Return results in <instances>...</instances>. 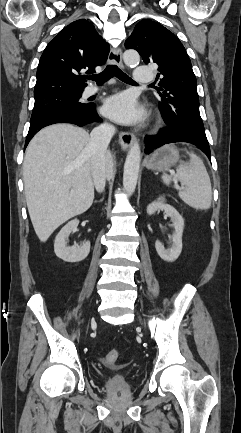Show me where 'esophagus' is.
<instances>
[{
    "label": "esophagus",
    "instance_id": "1",
    "mask_svg": "<svg viewBox=\"0 0 241 433\" xmlns=\"http://www.w3.org/2000/svg\"><path fill=\"white\" fill-rule=\"evenodd\" d=\"M109 61L117 65L120 68H123V62H122V51L121 49H112L109 53ZM134 141V135L130 132H123L121 131L119 133V142L123 150H127Z\"/></svg>",
    "mask_w": 241,
    "mask_h": 433
}]
</instances>
